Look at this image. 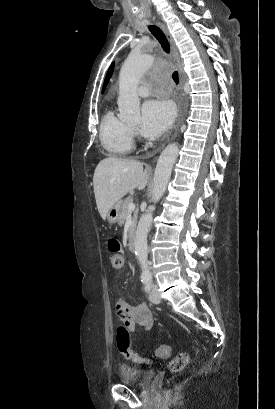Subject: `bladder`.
Wrapping results in <instances>:
<instances>
[{
    "mask_svg": "<svg viewBox=\"0 0 275 409\" xmlns=\"http://www.w3.org/2000/svg\"><path fill=\"white\" fill-rule=\"evenodd\" d=\"M157 375V371L131 364H121L118 369L117 379L119 380L120 384L134 385L136 387H148L152 384V381L157 377Z\"/></svg>",
    "mask_w": 275,
    "mask_h": 409,
    "instance_id": "31cf9c89",
    "label": "bladder"
}]
</instances>
